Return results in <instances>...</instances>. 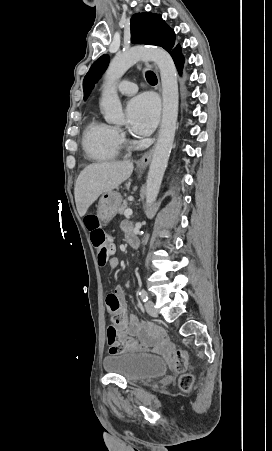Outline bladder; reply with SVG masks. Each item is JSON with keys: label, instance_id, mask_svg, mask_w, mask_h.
<instances>
[{"label": "bladder", "instance_id": "obj_1", "mask_svg": "<svg viewBox=\"0 0 272 451\" xmlns=\"http://www.w3.org/2000/svg\"><path fill=\"white\" fill-rule=\"evenodd\" d=\"M108 374L121 376L127 382L160 377L165 374L167 362L163 357L151 353L110 352L103 361Z\"/></svg>", "mask_w": 272, "mask_h": 451}]
</instances>
